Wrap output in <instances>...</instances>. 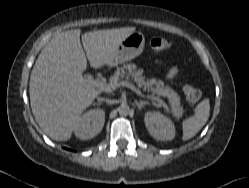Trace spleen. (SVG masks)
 Instances as JSON below:
<instances>
[{"label": "spleen", "mask_w": 249, "mask_h": 188, "mask_svg": "<svg viewBox=\"0 0 249 188\" xmlns=\"http://www.w3.org/2000/svg\"><path fill=\"white\" fill-rule=\"evenodd\" d=\"M210 104L209 100L201 101L195 108V115L186 119L183 122L182 140H189L195 136L200 129L205 125L209 118Z\"/></svg>", "instance_id": "spleen-1"}]
</instances>
